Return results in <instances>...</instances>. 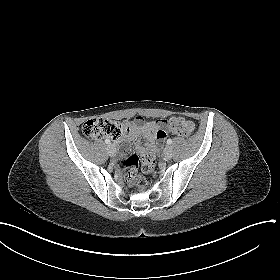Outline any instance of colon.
<instances>
[{"label":"colon","mask_w":280,"mask_h":280,"mask_svg":"<svg viewBox=\"0 0 280 280\" xmlns=\"http://www.w3.org/2000/svg\"><path fill=\"white\" fill-rule=\"evenodd\" d=\"M165 126L172 133L187 137L194 132V124L182 117H172L165 122ZM82 134L89 139L103 137L116 138L123 132L122 124L104 118L87 120L82 126ZM126 179L138 186L143 192L146 188L145 173H152L155 165V157L151 152H145L141 156L132 155L124 160Z\"/></svg>","instance_id":"obj_1"}]
</instances>
